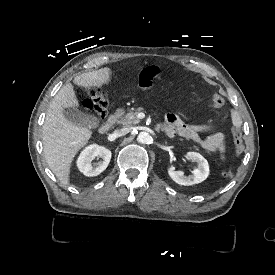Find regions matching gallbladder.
Wrapping results in <instances>:
<instances>
[{
  "label": "gallbladder",
  "instance_id": "gallbladder-1",
  "mask_svg": "<svg viewBox=\"0 0 275 275\" xmlns=\"http://www.w3.org/2000/svg\"><path fill=\"white\" fill-rule=\"evenodd\" d=\"M69 121L87 128H96L101 124V120L94 115L86 114L78 109H67L64 112Z\"/></svg>",
  "mask_w": 275,
  "mask_h": 275
}]
</instances>
